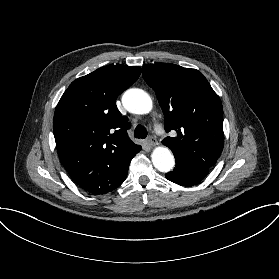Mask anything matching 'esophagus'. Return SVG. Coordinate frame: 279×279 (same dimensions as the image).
I'll list each match as a JSON object with an SVG mask.
<instances>
[{
    "label": "esophagus",
    "instance_id": "esophagus-1",
    "mask_svg": "<svg viewBox=\"0 0 279 279\" xmlns=\"http://www.w3.org/2000/svg\"><path fill=\"white\" fill-rule=\"evenodd\" d=\"M147 143L149 144V146H155L158 142L153 136H149L147 138Z\"/></svg>",
    "mask_w": 279,
    "mask_h": 279
}]
</instances>
